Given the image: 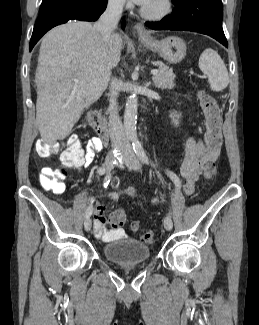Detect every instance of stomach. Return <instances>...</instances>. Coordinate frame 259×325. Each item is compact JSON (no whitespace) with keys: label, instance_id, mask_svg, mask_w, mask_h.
<instances>
[{"label":"stomach","instance_id":"obj_1","mask_svg":"<svg viewBox=\"0 0 259 325\" xmlns=\"http://www.w3.org/2000/svg\"><path fill=\"white\" fill-rule=\"evenodd\" d=\"M142 43L170 64L181 62L186 55V44L179 37L170 36L161 41L142 40Z\"/></svg>","mask_w":259,"mask_h":325}]
</instances>
